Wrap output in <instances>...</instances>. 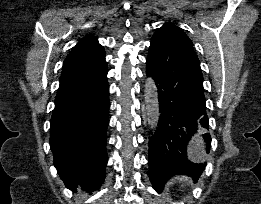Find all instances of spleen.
I'll use <instances>...</instances> for the list:
<instances>
[{
  "mask_svg": "<svg viewBox=\"0 0 261 204\" xmlns=\"http://www.w3.org/2000/svg\"><path fill=\"white\" fill-rule=\"evenodd\" d=\"M191 151L195 157L199 156L202 153L201 146L196 143L195 145H193Z\"/></svg>",
  "mask_w": 261,
  "mask_h": 204,
  "instance_id": "spleen-1",
  "label": "spleen"
}]
</instances>
